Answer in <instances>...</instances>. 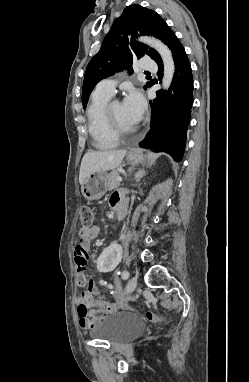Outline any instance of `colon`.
I'll use <instances>...</instances> for the list:
<instances>
[{"label": "colon", "instance_id": "1", "mask_svg": "<svg viewBox=\"0 0 249 382\" xmlns=\"http://www.w3.org/2000/svg\"><path fill=\"white\" fill-rule=\"evenodd\" d=\"M79 216H80V223L82 225V228H90L94 219V212L92 208L88 206H82L79 211ZM73 253H74L75 263L78 266L76 268L77 272L75 273V278L78 282H85L86 276L84 275V271L86 269V266L89 260V254H88L87 248H74L73 246ZM87 280L89 281V289L95 295L97 300L101 304H103L108 310H114L115 307L112 304L107 303L103 299V297L98 295L97 289L93 282L95 280L93 273L89 274V276L87 277ZM145 318L149 322H162L166 320L164 316L157 315L150 311H147L145 313Z\"/></svg>", "mask_w": 249, "mask_h": 382}]
</instances>
